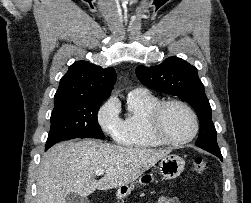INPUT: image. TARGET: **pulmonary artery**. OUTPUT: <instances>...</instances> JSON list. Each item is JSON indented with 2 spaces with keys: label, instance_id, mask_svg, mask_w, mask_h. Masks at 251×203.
<instances>
[{
  "label": "pulmonary artery",
  "instance_id": "obj_1",
  "mask_svg": "<svg viewBox=\"0 0 251 203\" xmlns=\"http://www.w3.org/2000/svg\"><path fill=\"white\" fill-rule=\"evenodd\" d=\"M147 94H149L148 90L142 87L135 88L129 93L132 96H145Z\"/></svg>",
  "mask_w": 251,
  "mask_h": 203
}]
</instances>
